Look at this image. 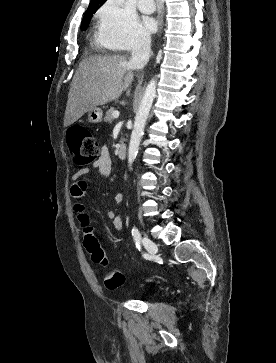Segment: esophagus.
<instances>
[{"label": "esophagus", "mask_w": 276, "mask_h": 363, "mask_svg": "<svg viewBox=\"0 0 276 363\" xmlns=\"http://www.w3.org/2000/svg\"><path fill=\"white\" fill-rule=\"evenodd\" d=\"M157 1H158V3H161V0H157ZM158 21H159V24L161 25L162 22H163V15L162 14L159 15Z\"/></svg>", "instance_id": "esophagus-1"}]
</instances>
